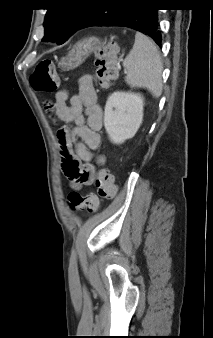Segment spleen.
Returning a JSON list of instances; mask_svg holds the SVG:
<instances>
[{"label":"spleen","instance_id":"1","mask_svg":"<svg viewBox=\"0 0 213 338\" xmlns=\"http://www.w3.org/2000/svg\"><path fill=\"white\" fill-rule=\"evenodd\" d=\"M126 83L132 88H146L158 98L162 94L163 64L154 42L137 32L133 48L123 61Z\"/></svg>","mask_w":213,"mask_h":338}]
</instances>
